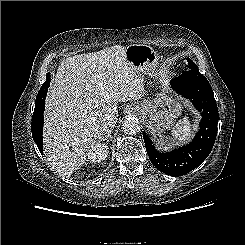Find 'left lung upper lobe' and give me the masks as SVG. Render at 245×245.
<instances>
[{"label":"left lung upper lobe","instance_id":"5c2ea615","mask_svg":"<svg viewBox=\"0 0 245 245\" xmlns=\"http://www.w3.org/2000/svg\"><path fill=\"white\" fill-rule=\"evenodd\" d=\"M186 60H187L188 63H189V69H198L197 65H195V64L191 61V59L186 58Z\"/></svg>","mask_w":245,"mask_h":245}]
</instances>
